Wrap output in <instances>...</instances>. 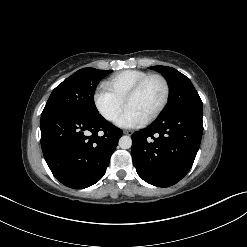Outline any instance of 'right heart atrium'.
<instances>
[{"instance_id":"1","label":"right heart atrium","mask_w":247,"mask_h":247,"mask_svg":"<svg viewBox=\"0 0 247 247\" xmlns=\"http://www.w3.org/2000/svg\"><path fill=\"white\" fill-rule=\"evenodd\" d=\"M93 100L100 115L110 122H114L118 118L124 106V100L105 86L95 91Z\"/></svg>"}]
</instances>
